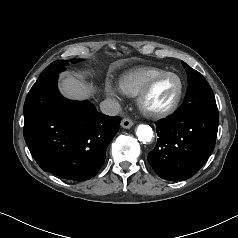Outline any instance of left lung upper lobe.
<instances>
[{"label": "left lung upper lobe", "mask_w": 238, "mask_h": 238, "mask_svg": "<svg viewBox=\"0 0 238 238\" xmlns=\"http://www.w3.org/2000/svg\"><path fill=\"white\" fill-rule=\"evenodd\" d=\"M182 64L188 75V88L184 103L178 113L190 115L201 109L216 107L213 91L206 79L185 62Z\"/></svg>", "instance_id": "5c2ea615"}]
</instances>
